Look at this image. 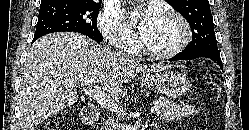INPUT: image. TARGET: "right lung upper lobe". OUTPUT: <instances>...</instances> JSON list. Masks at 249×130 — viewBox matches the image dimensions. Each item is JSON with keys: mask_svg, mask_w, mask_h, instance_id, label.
Returning <instances> with one entry per match:
<instances>
[{"mask_svg": "<svg viewBox=\"0 0 249 130\" xmlns=\"http://www.w3.org/2000/svg\"><path fill=\"white\" fill-rule=\"evenodd\" d=\"M62 1H65V0H42L41 1V6L48 5V4H53V3H59V2H62ZM90 1H93V0H90ZM100 1H102V0H100Z\"/></svg>", "mask_w": 249, "mask_h": 130, "instance_id": "obj_1", "label": "right lung upper lobe"}]
</instances>
